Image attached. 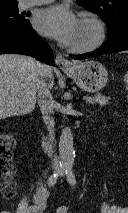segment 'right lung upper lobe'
I'll return each instance as SVG.
<instances>
[{"label":"right lung upper lobe","instance_id":"1","mask_svg":"<svg viewBox=\"0 0 128 213\" xmlns=\"http://www.w3.org/2000/svg\"><path fill=\"white\" fill-rule=\"evenodd\" d=\"M10 5H18L17 0H0V7Z\"/></svg>","mask_w":128,"mask_h":213}]
</instances>
